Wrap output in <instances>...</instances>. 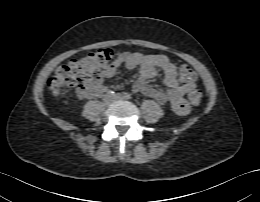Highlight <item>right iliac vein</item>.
<instances>
[{"label":"right iliac vein","mask_w":260,"mask_h":202,"mask_svg":"<svg viewBox=\"0 0 260 202\" xmlns=\"http://www.w3.org/2000/svg\"><path fill=\"white\" fill-rule=\"evenodd\" d=\"M111 101H112V98L110 96H106L104 98V102L107 103V104H109Z\"/></svg>","instance_id":"obj_1"}]
</instances>
